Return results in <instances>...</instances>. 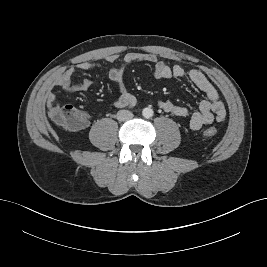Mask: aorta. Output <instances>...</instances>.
<instances>
[{"label": "aorta", "instance_id": "aorta-1", "mask_svg": "<svg viewBox=\"0 0 267 267\" xmlns=\"http://www.w3.org/2000/svg\"><path fill=\"white\" fill-rule=\"evenodd\" d=\"M142 115L145 118H151L153 116V110L151 108H144L142 111Z\"/></svg>", "mask_w": 267, "mask_h": 267}]
</instances>
